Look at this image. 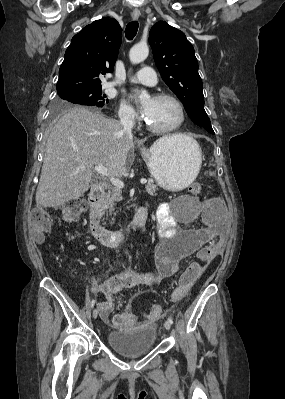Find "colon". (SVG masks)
I'll list each match as a JSON object with an SVG mask.
<instances>
[{"mask_svg": "<svg viewBox=\"0 0 285 399\" xmlns=\"http://www.w3.org/2000/svg\"><path fill=\"white\" fill-rule=\"evenodd\" d=\"M201 191L202 187L199 183H193L189 187V192L192 196H198ZM85 209L86 202L81 199L74 200L59 209H33L28 220L32 237L36 241L42 240L53 226L55 219L77 220ZM219 246L220 243L218 241H213L205 245L201 250L199 261L188 265L180 279L178 287L180 295L186 294L193 283L206 270L208 263L215 255ZM161 311L162 307L160 305H153L147 310L146 315L151 319H155L160 315Z\"/></svg>", "mask_w": 285, "mask_h": 399, "instance_id": "obj_1", "label": "colon"}]
</instances>
